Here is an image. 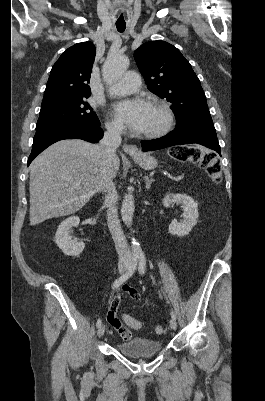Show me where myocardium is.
I'll return each mask as SVG.
<instances>
[{"instance_id": "f54148a6", "label": "myocardium", "mask_w": 265, "mask_h": 401, "mask_svg": "<svg viewBox=\"0 0 265 401\" xmlns=\"http://www.w3.org/2000/svg\"><path fill=\"white\" fill-rule=\"evenodd\" d=\"M150 105L160 110L162 114V120L156 129L149 132H142V136L146 138H153L162 135L171 127L174 118L173 111L164 101L154 100L150 102Z\"/></svg>"}]
</instances>
